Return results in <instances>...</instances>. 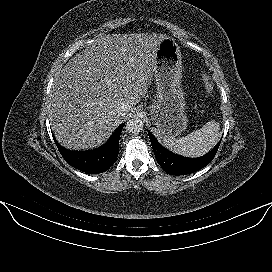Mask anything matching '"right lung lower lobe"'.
Here are the masks:
<instances>
[{
	"label": "right lung lower lobe",
	"instance_id": "98d812e1",
	"mask_svg": "<svg viewBox=\"0 0 272 272\" xmlns=\"http://www.w3.org/2000/svg\"><path fill=\"white\" fill-rule=\"evenodd\" d=\"M124 123L121 124L112 137L102 147L91 151H71L57 143L56 146L62 157L74 168L89 174H97L108 170L116 161L120 134Z\"/></svg>",
	"mask_w": 272,
	"mask_h": 272
}]
</instances>
